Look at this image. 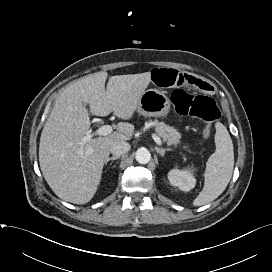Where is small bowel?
I'll use <instances>...</instances> for the list:
<instances>
[{
    "instance_id": "small-bowel-1",
    "label": "small bowel",
    "mask_w": 272,
    "mask_h": 272,
    "mask_svg": "<svg viewBox=\"0 0 272 272\" xmlns=\"http://www.w3.org/2000/svg\"><path fill=\"white\" fill-rule=\"evenodd\" d=\"M152 79L156 85L163 88L190 87L201 91L211 89V85L206 81L175 69L156 68L152 71Z\"/></svg>"
}]
</instances>
